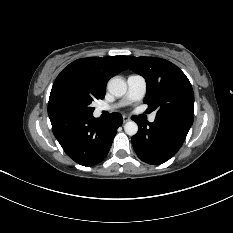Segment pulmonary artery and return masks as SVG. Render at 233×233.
I'll return each mask as SVG.
<instances>
[{
  "label": "pulmonary artery",
  "instance_id": "obj_1",
  "mask_svg": "<svg viewBox=\"0 0 233 233\" xmlns=\"http://www.w3.org/2000/svg\"><path fill=\"white\" fill-rule=\"evenodd\" d=\"M127 85H128L127 93L120 103L116 105H112V106L98 107L96 112L100 114L103 111L114 110L117 107L123 106L130 102L140 100L144 97L146 93V81L144 77H142L141 75H137V74L130 75L127 78ZM155 118H156V115L151 114L149 116V121L154 122Z\"/></svg>",
  "mask_w": 233,
  "mask_h": 233
}]
</instances>
